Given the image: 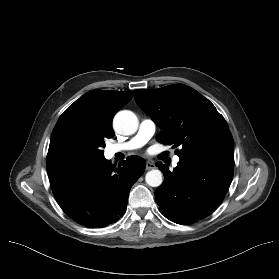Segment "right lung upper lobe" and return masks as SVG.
<instances>
[{"label": "right lung upper lobe", "instance_id": "cb5924a9", "mask_svg": "<svg viewBox=\"0 0 279 279\" xmlns=\"http://www.w3.org/2000/svg\"><path fill=\"white\" fill-rule=\"evenodd\" d=\"M132 96L131 91L95 90L84 94L59 117L51 137L67 127L81 128L97 138L113 137L112 118Z\"/></svg>", "mask_w": 279, "mask_h": 279}]
</instances>
